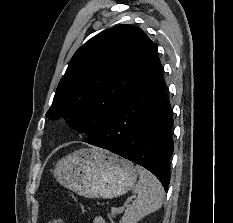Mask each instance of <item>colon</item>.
<instances>
[{
    "label": "colon",
    "mask_w": 233,
    "mask_h": 223,
    "mask_svg": "<svg viewBox=\"0 0 233 223\" xmlns=\"http://www.w3.org/2000/svg\"><path fill=\"white\" fill-rule=\"evenodd\" d=\"M50 223H64V220L61 217H56Z\"/></svg>",
    "instance_id": "obj_1"
}]
</instances>
